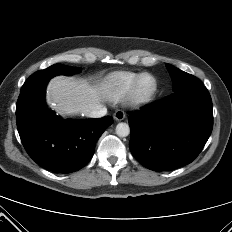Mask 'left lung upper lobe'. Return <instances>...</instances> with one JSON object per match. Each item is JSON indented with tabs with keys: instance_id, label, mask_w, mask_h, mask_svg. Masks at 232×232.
Listing matches in <instances>:
<instances>
[{
	"instance_id": "5c2ea615",
	"label": "left lung upper lobe",
	"mask_w": 232,
	"mask_h": 232,
	"mask_svg": "<svg viewBox=\"0 0 232 232\" xmlns=\"http://www.w3.org/2000/svg\"><path fill=\"white\" fill-rule=\"evenodd\" d=\"M167 69L173 80V91L176 92L184 87L200 83L195 76L188 74L170 64H166Z\"/></svg>"
}]
</instances>
